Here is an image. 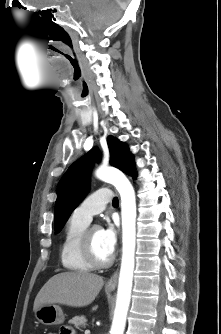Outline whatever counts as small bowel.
Returning a JSON list of instances; mask_svg holds the SVG:
<instances>
[{
	"label": "small bowel",
	"instance_id": "c3829d8e",
	"mask_svg": "<svg viewBox=\"0 0 221 334\" xmlns=\"http://www.w3.org/2000/svg\"><path fill=\"white\" fill-rule=\"evenodd\" d=\"M61 334H73L70 329H64Z\"/></svg>",
	"mask_w": 221,
	"mask_h": 334
}]
</instances>
